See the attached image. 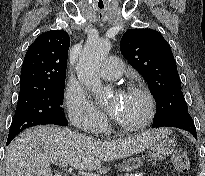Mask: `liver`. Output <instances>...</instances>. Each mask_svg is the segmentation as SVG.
Listing matches in <instances>:
<instances>
[{"mask_svg": "<svg viewBox=\"0 0 205 176\" xmlns=\"http://www.w3.org/2000/svg\"><path fill=\"white\" fill-rule=\"evenodd\" d=\"M168 134L151 129L118 141H102L59 127H34L19 134L6 150V176H53L51 163L67 162L83 171H95L105 161L143 151Z\"/></svg>", "mask_w": 205, "mask_h": 176, "instance_id": "6515ba94", "label": "liver"}]
</instances>
